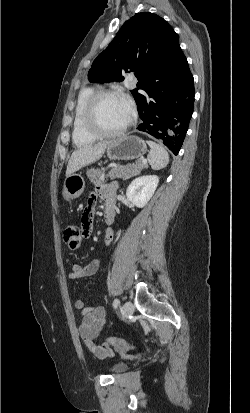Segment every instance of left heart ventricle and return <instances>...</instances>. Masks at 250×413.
I'll return each instance as SVG.
<instances>
[{
  "label": "left heart ventricle",
  "instance_id": "left-heart-ventricle-1",
  "mask_svg": "<svg viewBox=\"0 0 250 413\" xmlns=\"http://www.w3.org/2000/svg\"><path fill=\"white\" fill-rule=\"evenodd\" d=\"M98 122L105 131H116L127 125L131 119L121 98H104L98 106Z\"/></svg>",
  "mask_w": 250,
  "mask_h": 413
}]
</instances>
